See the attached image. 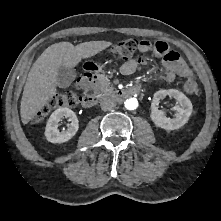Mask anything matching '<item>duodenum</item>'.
Masks as SVG:
<instances>
[{"instance_id": "410a0bca", "label": "duodenum", "mask_w": 221, "mask_h": 221, "mask_svg": "<svg viewBox=\"0 0 221 221\" xmlns=\"http://www.w3.org/2000/svg\"><path fill=\"white\" fill-rule=\"evenodd\" d=\"M88 72L92 74L93 76L96 75V67H90ZM140 93V87L139 86H132L125 90H118L113 93V96L117 100H124L130 96L137 95ZM99 97L94 94L86 95L82 100V105L85 107H91L95 105L98 102Z\"/></svg>"}]
</instances>
